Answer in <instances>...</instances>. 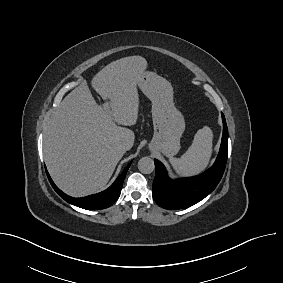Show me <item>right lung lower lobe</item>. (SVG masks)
<instances>
[{"instance_id":"right-lung-lower-lobe-1","label":"right lung lower lobe","mask_w":283,"mask_h":283,"mask_svg":"<svg viewBox=\"0 0 283 283\" xmlns=\"http://www.w3.org/2000/svg\"><path fill=\"white\" fill-rule=\"evenodd\" d=\"M131 162L127 165V167L124 169V171L119 175V177L115 180V182L105 191L100 192L98 194L90 195L83 198H73L65 193H63L58 187L54 184L52 179L50 178L48 172L47 176L48 179L53 187V189L68 203L78 206L80 208L86 209V210H99V209H105L111 206L120 196L122 185L124 178L126 176V173L128 171V168L130 166Z\"/></svg>"}]
</instances>
